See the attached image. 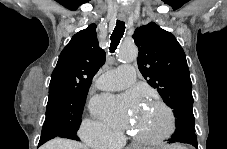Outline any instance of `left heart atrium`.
Listing matches in <instances>:
<instances>
[{"mask_svg": "<svg viewBox=\"0 0 227 149\" xmlns=\"http://www.w3.org/2000/svg\"><path fill=\"white\" fill-rule=\"evenodd\" d=\"M133 100L134 97L131 95L124 97L102 95L93 101L92 108L109 124L126 128L129 124V117L125 110L132 106Z\"/></svg>", "mask_w": 227, "mask_h": 149, "instance_id": "obj_1", "label": "left heart atrium"}]
</instances>
